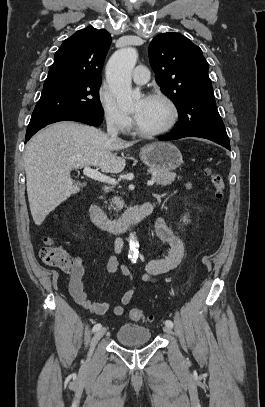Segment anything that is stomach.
<instances>
[{"label": "stomach", "instance_id": "obj_1", "mask_svg": "<svg viewBox=\"0 0 265 407\" xmlns=\"http://www.w3.org/2000/svg\"><path fill=\"white\" fill-rule=\"evenodd\" d=\"M140 158L145 165L154 171H172L182 163L179 149L169 142H154L140 150Z\"/></svg>", "mask_w": 265, "mask_h": 407}]
</instances>
